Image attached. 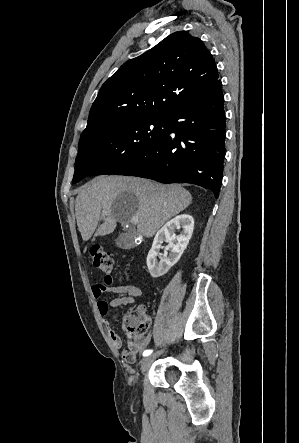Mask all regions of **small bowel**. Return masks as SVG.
Wrapping results in <instances>:
<instances>
[{"mask_svg":"<svg viewBox=\"0 0 299 443\" xmlns=\"http://www.w3.org/2000/svg\"><path fill=\"white\" fill-rule=\"evenodd\" d=\"M106 291L113 292L115 297L106 300L104 298V293ZM92 293L97 300L98 311L101 315L105 316L111 309L134 304L136 300L142 296L143 292L142 288L135 284H118L106 287L101 283H97L92 287ZM139 309L144 310V307H139ZM104 326L114 347L120 349L122 347V341L112 328L111 323L108 320H104ZM149 340L150 337H145L136 342H129L128 350L123 353L125 361L128 363L134 362L136 355L146 347Z\"/></svg>","mask_w":299,"mask_h":443,"instance_id":"c3829d8e","label":"small bowel"}]
</instances>
